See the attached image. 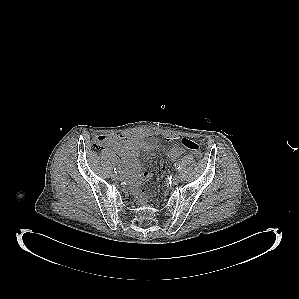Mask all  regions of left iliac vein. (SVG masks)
<instances>
[{
	"label": "left iliac vein",
	"instance_id": "left-iliac-vein-1",
	"mask_svg": "<svg viewBox=\"0 0 299 299\" xmlns=\"http://www.w3.org/2000/svg\"><path fill=\"white\" fill-rule=\"evenodd\" d=\"M180 178H181V177H180L179 174H175V175L173 176V179H172L173 184H177V183H179Z\"/></svg>",
	"mask_w": 299,
	"mask_h": 299
}]
</instances>
